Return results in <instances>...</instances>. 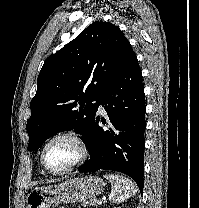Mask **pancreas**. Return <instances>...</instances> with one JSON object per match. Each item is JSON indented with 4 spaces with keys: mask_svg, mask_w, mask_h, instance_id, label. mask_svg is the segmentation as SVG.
Masks as SVG:
<instances>
[{
    "mask_svg": "<svg viewBox=\"0 0 199 208\" xmlns=\"http://www.w3.org/2000/svg\"><path fill=\"white\" fill-rule=\"evenodd\" d=\"M96 205V201L95 200H88V201H83L81 206H84V207H92V206H95Z\"/></svg>",
    "mask_w": 199,
    "mask_h": 208,
    "instance_id": "pancreas-1",
    "label": "pancreas"
}]
</instances>
